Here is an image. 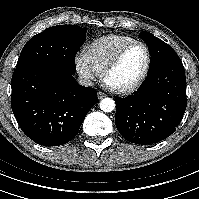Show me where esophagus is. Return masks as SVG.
I'll return each instance as SVG.
<instances>
[{"label":"esophagus","mask_w":199,"mask_h":199,"mask_svg":"<svg viewBox=\"0 0 199 199\" xmlns=\"http://www.w3.org/2000/svg\"><path fill=\"white\" fill-rule=\"evenodd\" d=\"M97 96H98V99H102L104 97H106L107 95L101 91L97 92Z\"/></svg>","instance_id":"obj_1"}]
</instances>
